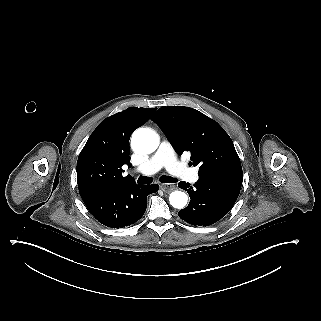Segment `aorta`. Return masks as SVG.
Returning a JSON list of instances; mask_svg holds the SVG:
<instances>
[{"instance_id":"aorta-1","label":"aorta","mask_w":321,"mask_h":321,"mask_svg":"<svg viewBox=\"0 0 321 321\" xmlns=\"http://www.w3.org/2000/svg\"><path fill=\"white\" fill-rule=\"evenodd\" d=\"M160 143L159 136L151 129L140 128L134 131L131 138L133 150L139 154H150L154 152ZM188 197L183 191H173L169 196L170 204L177 209L186 206Z\"/></svg>"}]
</instances>
